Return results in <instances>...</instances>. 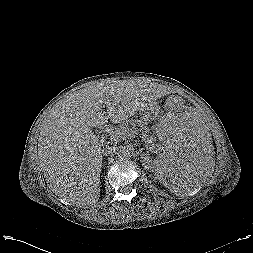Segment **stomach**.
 Wrapping results in <instances>:
<instances>
[{
	"label": "stomach",
	"instance_id": "obj_1",
	"mask_svg": "<svg viewBox=\"0 0 253 253\" xmlns=\"http://www.w3.org/2000/svg\"><path fill=\"white\" fill-rule=\"evenodd\" d=\"M140 116L143 121H150L156 117L153 111V107H150V106H146L145 108H142L140 110Z\"/></svg>",
	"mask_w": 253,
	"mask_h": 253
}]
</instances>
